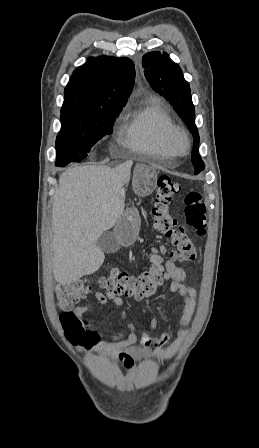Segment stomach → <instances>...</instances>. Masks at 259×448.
I'll return each instance as SVG.
<instances>
[{
    "instance_id": "1",
    "label": "stomach",
    "mask_w": 259,
    "mask_h": 448,
    "mask_svg": "<svg viewBox=\"0 0 259 448\" xmlns=\"http://www.w3.org/2000/svg\"><path fill=\"white\" fill-rule=\"evenodd\" d=\"M141 212L136 206H127L115 228V236L122 246H131L139 236Z\"/></svg>"
}]
</instances>
